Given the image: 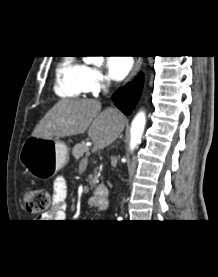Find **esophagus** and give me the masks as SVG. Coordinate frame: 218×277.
<instances>
[{
    "label": "esophagus",
    "mask_w": 218,
    "mask_h": 277,
    "mask_svg": "<svg viewBox=\"0 0 218 277\" xmlns=\"http://www.w3.org/2000/svg\"><path fill=\"white\" fill-rule=\"evenodd\" d=\"M142 61H143V58L142 57H136L135 58V64H134V67L129 75V77L127 78V81H131L134 76L138 73V71L140 70L141 68V65H142Z\"/></svg>",
    "instance_id": "esophagus-1"
}]
</instances>
